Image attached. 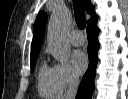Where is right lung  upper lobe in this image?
<instances>
[{
    "label": "right lung upper lobe",
    "mask_w": 128,
    "mask_h": 99,
    "mask_svg": "<svg viewBox=\"0 0 128 99\" xmlns=\"http://www.w3.org/2000/svg\"><path fill=\"white\" fill-rule=\"evenodd\" d=\"M83 2L87 13L91 15V18L95 17L96 16L94 12L95 7L91 4L90 0H83ZM46 21H47V14L44 11L39 12L33 28L31 57L38 56L39 54L44 37Z\"/></svg>",
    "instance_id": "right-lung-upper-lobe-1"
}]
</instances>
